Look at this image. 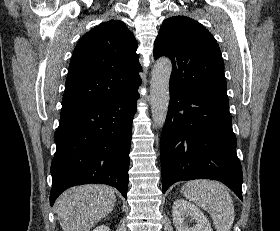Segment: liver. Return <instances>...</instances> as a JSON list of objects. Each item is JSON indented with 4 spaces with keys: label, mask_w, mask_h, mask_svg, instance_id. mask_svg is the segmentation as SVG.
<instances>
[{
    "label": "liver",
    "mask_w": 280,
    "mask_h": 231,
    "mask_svg": "<svg viewBox=\"0 0 280 231\" xmlns=\"http://www.w3.org/2000/svg\"><path fill=\"white\" fill-rule=\"evenodd\" d=\"M116 205L112 187L90 183L66 189L56 201L59 221L64 231H89Z\"/></svg>",
    "instance_id": "liver-1"
}]
</instances>
